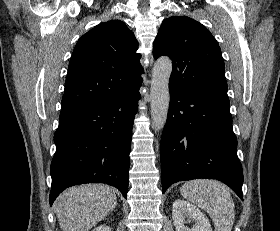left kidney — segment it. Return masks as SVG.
<instances>
[{
	"instance_id": "5707ae66",
	"label": "left kidney",
	"mask_w": 280,
	"mask_h": 231,
	"mask_svg": "<svg viewBox=\"0 0 280 231\" xmlns=\"http://www.w3.org/2000/svg\"><path fill=\"white\" fill-rule=\"evenodd\" d=\"M172 219L176 231H212V227L204 213L185 199H175L172 205ZM188 221H195L193 227H188Z\"/></svg>"
}]
</instances>
